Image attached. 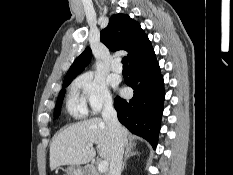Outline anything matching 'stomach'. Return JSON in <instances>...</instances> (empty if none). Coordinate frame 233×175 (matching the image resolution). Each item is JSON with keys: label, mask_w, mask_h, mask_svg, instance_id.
Returning <instances> with one entry per match:
<instances>
[{"label": "stomach", "mask_w": 233, "mask_h": 175, "mask_svg": "<svg viewBox=\"0 0 233 175\" xmlns=\"http://www.w3.org/2000/svg\"><path fill=\"white\" fill-rule=\"evenodd\" d=\"M65 171L66 175H86L85 169L80 166H69Z\"/></svg>", "instance_id": "1"}]
</instances>
